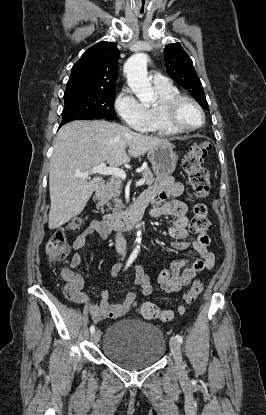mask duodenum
I'll list each match as a JSON object with an SVG mask.
<instances>
[{"label":"duodenum","mask_w":266,"mask_h":415,"mask_svg":"<svg viewBox=\"0 0 266 415\" xmlns=\"http://www.w3.org/2000/svg\"><path fill=\"white\" fill-rule=\"evenodd\" d=\"M104 183H99L95 188V194L101 195ZM146 204L136 200L127 210L119 213L108 214L103 218V224L109 230H124L135 225L142 217Z\"/></svg>","instance_id":"duodenum-1"}]
</instances>
